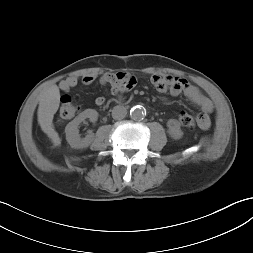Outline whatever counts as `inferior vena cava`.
I'll return each instance as SVG.
<instances>
[{
	"label": "inferior vena cava",
	"mask_w": 253,
	"mask_h": 253,
	"mask_svg": "<svg viewBox=\"0 0 253 253\" xmlns=\"http://www.w3.org/2000/svg\"><path fill=\"white\" fill-rule=\"evenodd\" d=\"M127 114V110L124 106H115L112 110V117L116 120L123 119Z\"/></svg>",
	"instance_id": "obj_1"
}]
</instances>
